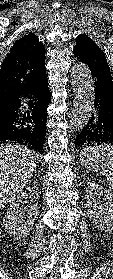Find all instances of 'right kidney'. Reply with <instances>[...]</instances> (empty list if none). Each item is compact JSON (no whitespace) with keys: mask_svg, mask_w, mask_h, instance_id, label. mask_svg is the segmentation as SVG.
Returning <instances> with one entry per match:
<instances>
[{"mask_svg":"<svg viewBox=\"0 0 113 279\" xmlns=\"http://www.w3.org/2000/svg\"><path fill=\"white\" fill-rule=\"evenodd\" d=\"M28 199L30 203L23 207L21 204ZM38 204L39 192L35 187L26 188L9 204L4 225L7 233L14 236L15 240H21L29 234L38 216Z\"/></svg>","mask_w":113,"mask_h":279,"instance_id":"1","label":"right kidney"}]
</instances>
